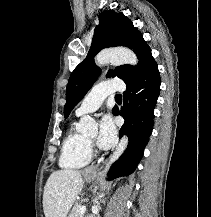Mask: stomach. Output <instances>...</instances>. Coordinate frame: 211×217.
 I'll list each match as a JSON object with an SVG mask.
<instances>
[{
    "mask_svg": "<svg viewBox=\"0 0 211 217\" xmlns=\"http://www.w3.org/2000/svg\"><path fill=\"white\" fill-rule=\"evenodd\" d=\"M84 176H85V179L87 181H91V180H93L95 178L96 174L95 173L85 172Z\"/></svg>",
    "mask_w": 211,
    "mask_h": 217,
    "instance_id": "1",
    "label": "stomach"
}]
</instances>
